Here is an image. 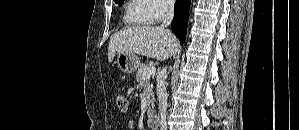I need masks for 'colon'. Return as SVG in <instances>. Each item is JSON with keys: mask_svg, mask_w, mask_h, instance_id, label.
<instances>
[{"mask_svg": "<svg viewBox=\"0 0 299 130\" xmlns=\"http://www.w3.org/2000/svg\"><path fill=\"white\" fill-rule=\"evenodd\" d=\"M117 107L121 111H126L128 108V100L125 96H118L116 99Z\"/></svg>", "mask_w": 299, "mask_h": 130, "instance_id": "5ec220e1", "label": "colon"}]
</instances>
